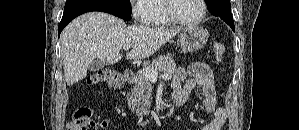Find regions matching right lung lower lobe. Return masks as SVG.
Instances as JSON below:
<instances>
[{
  "mask_svg": "<svg viewBox=\"0 0 299 130\" xmlns=\"http://www.w3.org/2000/svg\"><path fill=\"white\" fill-rule=\"evenodd\" d=\"M90 11H101L113 14L125 20L131 19V13L113 4L94 0H73L67 2L64 7L63 17L58 26V35L60 36L63 28L75 17Z\"/></svg>",
  "mask_w": 299,
  "mask_h": 130,
  "instance_id": "right-lung-lower-lobe-1",
  "label": "right lung lower lobe"
}]
</instances>
